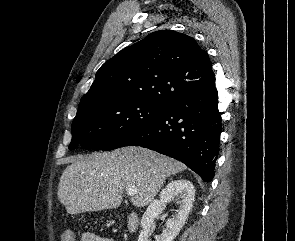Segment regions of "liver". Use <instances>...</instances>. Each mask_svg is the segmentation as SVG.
Listing matches in <instances>:
<instances>
[{"label": "liver", "instance_id": "liver-1", "mask_svg": "<svg viewBox=\"0 0 295 241\" xmlns=\"http://www.w3.org/2000/svg\"><path fill=\"white\" fill-rule=\"evenodd\" d=\"M62 173L58 199L68 214L118 207L125 189L135 186L136 207L148 205L167 177L186 169L172 158L140 147L77 156Z\"/></svg>", "mask_w": 295, "mask_h": 241}]
</instances>
